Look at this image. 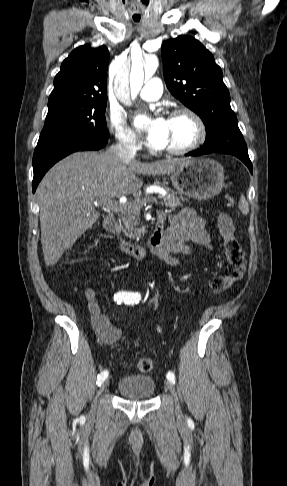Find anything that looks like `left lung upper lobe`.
<instances>
[{"label":"left lung upper lobe","instance_id":"5c2ea615","mask_svg":"<svg viewBox=\"0 0 287 486\" xmlns=\"http://www.w3.org/2000/svg\"><path fill=\"white\" fill-rule=\"evenodd\" d=\"M167 88L197 113L206 127L202 150L226 154H248L221 68L212 54L195 38L181 35L162 48Z\"/></svg>","mask_w":287,"mask_h":486}]
</instances>
